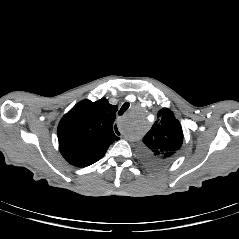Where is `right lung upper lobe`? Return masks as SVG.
Segmentation results:
<instances>
[{"mask_svg":"<svg viewBox=\"0 0 239 239\" xmlns=\"http://www.w3.org/2000/svg\"><path fill=\"white\" fill-rule=\"evenodd\" d=\"M117 110L106 98L76 104L58 126L62 156L77 167L89 166L102 158L108 147L119 140L113 132Z\"/></svg>","mask_w":239,"mask_h":239,"instance_id":"1","label":"right lung upper lobe"}]
</instances>
